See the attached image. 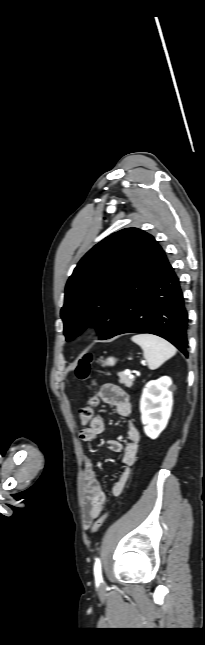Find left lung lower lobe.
I'll list each match as a JSON object with an SVG mask.
<instances>
[{
    "mask_svg": "<svg viewBox=\"0 0 205 645\" xmlns=\"http://www.w3.org/2000/svg\"><path fill=\"white\" fill-rule=\"evenodd\" d=\"M188 314L179 280L163 249L147 234L126 281L116 330L160 336L188 356Z\"/></svg>",
    "mask_w": 205,
    "mask_h": 645,
    "instance_id": "1",
    "label": "left lung lower lobe"
}]
</instances>
